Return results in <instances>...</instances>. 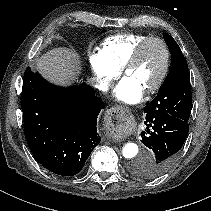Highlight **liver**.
I'll use <instances>...</instances> for the list:
<instances>
[{
    "instance_id": "liver-1",
    "label": "liver",
    "mask_w": 211,
    "mask_h": 211,
    "mask_svg": "<svg viewBox=\"0 0 211 211\" xmlns=\"http://www.w3.org/2000/svg\"><path fill=\"white\" fill-rule=\"evenodd\" d=\"M36 69L55 83H69L79 74V56L74 50L54 48L36 62Z\"/></svg>"
}]
</instances>
